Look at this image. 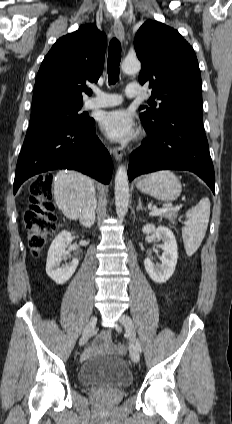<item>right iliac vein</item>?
Returning a JSON list of instances; mask_svg holds the SVG:
<instances>
[{"mask_svg":"<svg viewBox=\"0 0 232 424\" xmlns=\"http://www.w3.org/2000/svg\"><path fill=\"white\" fill-rule=\"evenodd\" d=\"M96 323H97V317L93 316L84 328V331L79 341L80 346H83L88 341V339L92 336L96 327Z\"/></svg>","mask_w":232,"mask_h":424,"instance_id":"1","label":"right iliac vein"}]
</instances>
